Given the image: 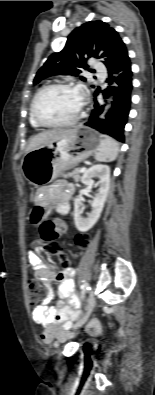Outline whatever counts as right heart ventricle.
<instances>
[{
	"mask_svg": "<svg viewBox=\"0 0 155 395\" xmlns=\"http://www.w3.org/2000/svg\"><path fill=\"white\" fill-rule=\"evenodd\" d=\"M29 120H30V123H31V125H32L33 127H39V126L33 121L32 117H31V114H30Z\"/></svg>",
	"mask_w": 155,
	"mask_h": 395,
	"instance_id": "e07e8e85",
	"label": "right heart ventricle"
}]
</instances>
